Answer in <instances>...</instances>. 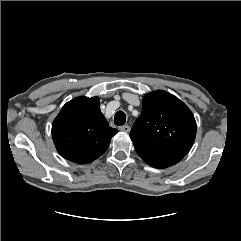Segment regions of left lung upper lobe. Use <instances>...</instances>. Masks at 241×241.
<instances>
[{"mask_svg":"<svg viewBox=\"0 0 241 241\" xmlns=\"http://www.w3.org/2000/svg\"><path fill=\"white\" fill-rule=\"evenodd\" d=\"M195 136L196 122L190 109L162 90L144 96L141 116L130 132L134 147L181 156L189 152Z\"/></svg>","mask_w":241,"mask_h":241,"instance_id":"obj_1","label":"left lung upper lobe"}]
</instances>
